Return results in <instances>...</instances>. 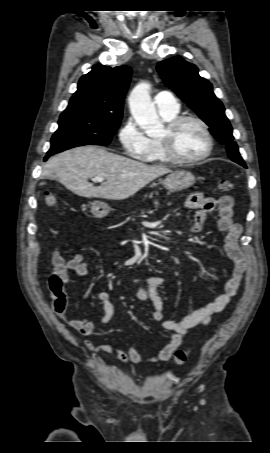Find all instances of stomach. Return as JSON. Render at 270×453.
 Wrapping results in <instances>:
<instances>
[{"label":"stomach","mask_w":270,"mask_h":453,"mask_svg":"<svg viewBox=\"0 0 270 453\" xmlns=\"http://www.w3.org/2000/svg\"><path fill=\"white\" fill-rule=\"evenodd\" d=\"M195 183V176L186 170H177L170 173L163 181L164 187L171 191H181ZM110 212V207L100 201H95L91 206V213L97 218H103Z\"/></svg>","instance_id":"stomach-1"}]
</instances>
